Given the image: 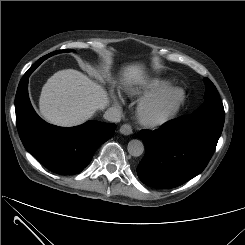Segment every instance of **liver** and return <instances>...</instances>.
Wrapping results in <instances>:
<instances>
[{
	"mask_svg": "<svg viewBox=\"0 0 245 245\" xmlns=\"http://www.w3.org/2000/svg\"><path fill=\"white\" fill-rule=\"evenodd\" d=\"M143 64L123 67V80L128 85L146 81ZM109 103L106 91L83 73L74 69L56 72L44 84L39 98V110L51 124L71 127L84 123L97 110Z\"/></svg>",
	"mask_w": 245,
	"mask_h": 245,
	"instance_id": "1",
	"label": "liver"
}]
</instances>
